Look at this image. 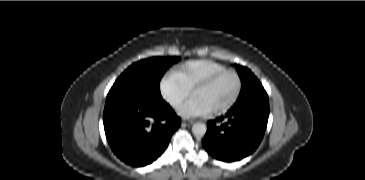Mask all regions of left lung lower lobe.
<instances>
[{"instance_id":"1","label":"left lung lower lobe","mask_w":365,"mask_h":180,"mask_svg":"<svg viewBox=\"0 0 365 180\" xmlns=\"http://www.w3.org/2000/svg\"><path fill=\"white\" fill-rule=\"evenodd\" d=\"M269 116L266 91L236 101L225 117L216 124L209 121L203 139L206 151L218 160L231 162L251 154L260 144Z\"/></svg>"}]
</instances>
